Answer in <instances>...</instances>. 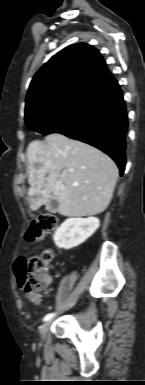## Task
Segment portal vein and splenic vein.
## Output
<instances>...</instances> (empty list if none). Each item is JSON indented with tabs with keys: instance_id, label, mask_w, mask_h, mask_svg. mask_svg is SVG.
Masks as SVG:
<instances>
[{
	"instance_id": "1",
	"label": "portal vein and splenic vein",
	"mask_w": 145,
	"mask_h": 385,
	"mask_svg": "<svg viewBox=\"0 0 145 385\" xmlns=\"http://www.w3.org/2000/svg\"><path fill=\"white\" fill-rule=\"evenodd\" d=\"M61 188H64V185H60Z\"/></svg>"
}]
</instances>
